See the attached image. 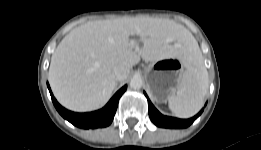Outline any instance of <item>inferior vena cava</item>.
<instances>
[{
	"label": "inferior vena cava",
	"instance_id": "602c4592",
	"mask_svg": "<svg viewBox=\"0 0 261 150\" xmlns=\"http://www.w3.org/2000/svg\"><path fill=\"white\" fill-rule=\"evenodd\" d=\"M129 68L124 66H115L112 71V77L116 81H123L125 80L129 75Z\"/></svg>",
	"mask_w": 261,
	"mask_h": 150
}]
</instances>
